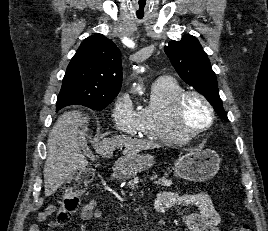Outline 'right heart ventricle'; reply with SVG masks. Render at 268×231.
Here are the masks:
<instances>
[{
	"label": "right heart ventricle",
	"instance_id": "right-heart-ventricle-1",
	"mask_svg": "<svg viewBox=\"0 0 268 231\" xmlns=\"http://www.w3.org/2000/svg\"><path fill=\"white\" fill-rule=\"evenodd\" d=\"M182 91V85L172 77H160L152 83L149 102L139 110L140 130L143 136L154 142L184 141L172 121L173 101Z\"/></svg>",
	"mask_w": 268,
	"mask_h": 231
}]
</instances>
